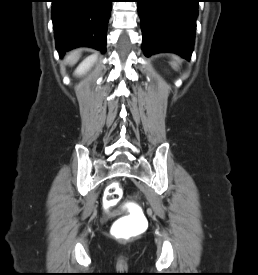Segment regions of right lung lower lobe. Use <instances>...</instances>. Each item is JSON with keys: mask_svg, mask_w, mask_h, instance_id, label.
<instances>
[{"mask_svg": "<svg viewBox=\"0 0 258 275\" xmlns=\"http://www.w3.org/2000/svg\"><path fill=\"white\" fill-rule=\"evenodd\" d=\"M112 0H52L56 48L60 55L87 46L104 52Z\"/></svg>", "mask_w": 258, "mask_h": 275, "instance_id": "obj_1", "label": "right lung lower lobe"}]
</instances>
